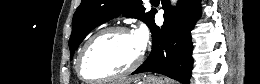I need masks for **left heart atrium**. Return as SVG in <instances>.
I'll return each instance as SVG.
<instances>
[{"label":"left heart atrium","mask_w":260,"mask_h":84,"mask_svg":"<svg viewBox=\"0 0 260 84\" xmlns=\"http://www.w3.org/2000/svg\"><path fill=\"white\" fill-rule=\"evenodd\" d=\"M134 36L141 50H144L149 42V31L144 25H140L134 32Z\"/></svg>","instance_id":"39dd6f15"}]
</instances>
